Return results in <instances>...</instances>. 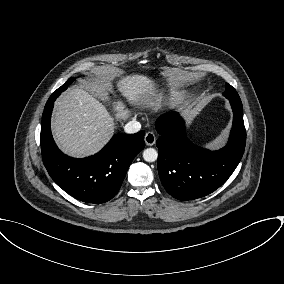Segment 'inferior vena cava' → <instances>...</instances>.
<instances>
[{
	"mask_svg": "<svg viewBox=\"0 0 284 284\" xmlns=\"http://www.w3.org/2000/svg\"><path fill=\"white\" fill-rule=\"evenodd\" d=\"M140 129H141L140 122L135 120L129 121L124 127V131L128 134L137 133L138 131H140Z\"/></svg>",
	"mask_w": 284,
	"mask_h": 284,
	"instance_id": "602c4592",
	"label": "inferior vena cava"
}]
</instances>
